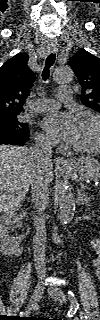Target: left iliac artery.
<instances>
[{"label":"left iliac artery","instance_id":"left-iliac-artery-1","mask_svg":"<svg viewBox=\"0 0 100 320\" xmlns=\"http://www.w3.org/2000/svg\"><path fill=\"white\" fill-rule=\"evenodd\" d=\"M67 294H68V299L70 301V304H71V309L74 310L75 312L76 311H79V314H80V319L81 320H87V316L85 315V313L83 311H81L80 309V305L77 301V298L74 294V292L72 290H68L67 291Z\"/></svg>","mask_w":100,"mask_h":320}]
</instances>
